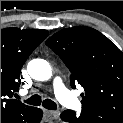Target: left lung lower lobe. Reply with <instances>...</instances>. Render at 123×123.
<instances>
[{"mask_svg":"<svg viewBox=\"0 0 123 123\" xmlns=\"http://www.w3.org/2000/svg\"><path fill=\"white\" fill-rule=\"evenodd\" d=\"M61 119L69 123H122L123 118L94 108H83L80 115L72 110H65Z\"/></svg>","mask_w":123,"mask_h":123,"instance_id":"left-lung-lower-lobe-1","label":"left lung lower lobe"}]
</instances>
